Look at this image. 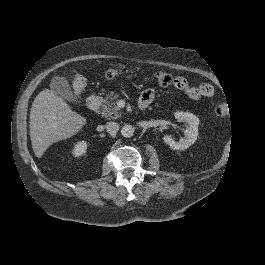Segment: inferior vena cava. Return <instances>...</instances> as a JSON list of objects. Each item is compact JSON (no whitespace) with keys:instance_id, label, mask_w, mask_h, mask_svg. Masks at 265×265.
<instances>
[{"instance_id":"1","label":"inferior vena cava","mask_w":265,"mask_h":265,"mask_svg":"<svg viewBox=\"0 0 265 265\" xmlns=\"http://www.w3.org/2000/svg\"><path fill=\"white\" fill-rule=\"evenodd\" d=\"M106 130L111 134L115 135L119 130V125L116 122H108L106 124Z\"/></svg>"}]
</instances>
